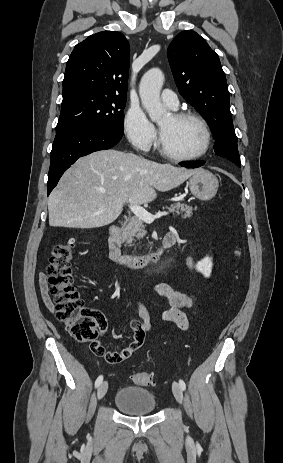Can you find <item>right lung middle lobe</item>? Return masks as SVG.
Returning <instances> with one entry per match:
<instances>
[{
	"instance_id": "dd1d6c3e",
	"label": "right lung middle lobe",
	"mask_w": 283,
	"mask_h": 463,
	"mask_svg": "<svg viewBox=\"0 0 283 463\" xmlns=\"http://www.w3.org/2000/svg\"><path fill=\"white\" fill-rule=\"evenodd\" d=\"M126 97L80 94L61 104L56 134L80 127H101L123 134Z\"/></svg>"
}]
</instances>
